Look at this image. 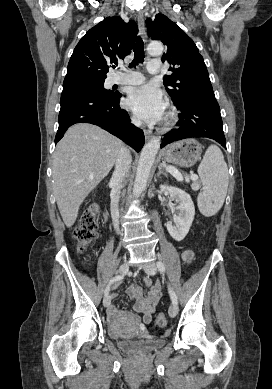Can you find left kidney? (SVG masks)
Returning <instances> with one entry per match:
<instances>
[{
  "label": "left kidney",
  "instance_id": "5707ae66",
  "mask_svg": "<svg viewBox=\"0 0 272 389\" xmlns=\"http://www.w3.org/2000/svg\"><path fill=\"white\" fill-rule=\"evenodd\" d=\"M160 190L162 192L167 191L170 195V200L168 203V208L177 214H174L172 222L167 223V230L171 237L176 241H181L188 234L189 229L192 225L195 215L194 203L191 199V196L182 189L173 186L160 185ZM175 200L178 205L175 207L171 201Z\"/></svg>",
  "mask_w": 272,
  "mask_h": 389
}]
</instances>
